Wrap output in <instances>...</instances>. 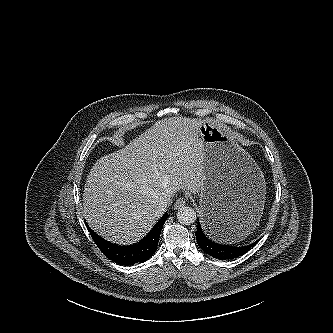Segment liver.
I'll return each mask as SVG.
<instances>
[{
    "instance_id": "1",
    "label": "liver",
    "mask_w": 333,
    "mask_h": 333,
    "mask_svg": "<svg viewBox=\"0 0 333 333\" xmlns=\"http://www.w3.org/2000/svg\"><path fill=\"white\" fill-rule=\"evenodd\" d=\"M203 122L182 116L159 120L121 150L97 160L83 193L88 225L111 242L135 243L163 215L160 200L180 189L198 193L205 180Z\"/></svg>"
}]
</instances>
